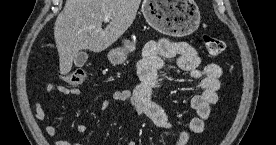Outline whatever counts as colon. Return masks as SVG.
Masks as SVG:
<instances>
[{
  "mask_svg": "<svg viewBox=\"0 0 276 145\" xmlns=\"http://www.w3.org/2000/svg\"><path fill=\"white\" fill-rule=\"evenodd\" d=\"M202 41L210 55L218 56L225 50V43L211 34H203ZM87 73L82 68H76L64 76L69 85H82L86 80Z\"/></svg>",
  "mask_w": 276,
  "mask_h": 145,
  "instance_id": "colon-1",
  "label": "colon"
}]
</instances>
